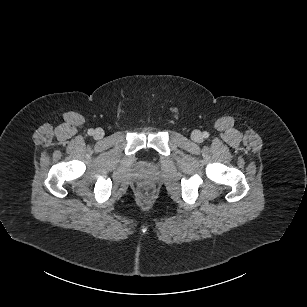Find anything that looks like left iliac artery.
Wrapping results in <instances>:
<instances>
[{"instance_id": "1", "label": "left iliac artery", "mask_w": 307, "mask_h": 307, "mask_svg": "<svg viewBox=\"0 0 307 307\" xmlns=\"http://www.w3.org/2000/svg\"><path fill=\"white\" fill-rule=\"evenodd\" d=\"M203 137H204V138H208V137H209V133H208V132H206V131H205V132H203Z\"/></svg>"}]
</instances>
